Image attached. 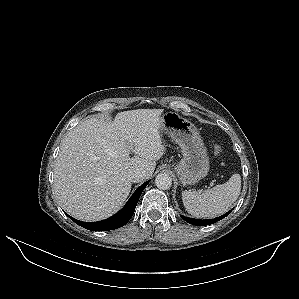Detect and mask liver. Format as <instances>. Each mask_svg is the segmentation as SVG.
<instances>
[{
  "mask_svg": "<svg viewBox=\"0 0 299 299\" xmlns=\"http://www.w3.org/2000/svg\"><path fill=\"white\" fill-rule=\"evenodd\" d=\"M162 113L123 111L112 122L92 117L67 133L55 163L54 193L69 215L83 221L108 218L128 197L132 171L142 169L144 179L152 176L165 154Z\"/></svg>",
  "mask_w": 299,
  "mask_h": 299,
  "instance_id": "6515ba94",
  "label": "liver"
}]
</instances>
